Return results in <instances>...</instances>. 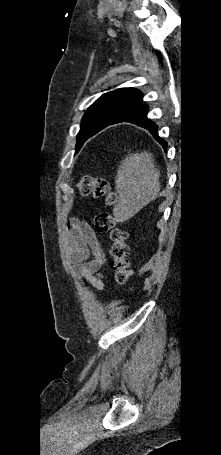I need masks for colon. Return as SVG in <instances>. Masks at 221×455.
I'll return each mask as SVG.
<instances>
[{"mask_svg":"<svg viewBox=\"0 0 221 455\" xmlns=\"http://www.w3.org/2000/svg\"><path fill=\"white\" fill-rule=\"evenodd\" d=\"M76 189L83 196L104 199L110 205L116 201V194L111 189L108 180L103 177L82 176L76 182ZM94 225L99 233L110 232L111 267L115 271L116 280L119 283H126L132 275L128 266L129 247L126 242V231L115 227L114 217L108 212L96 214Z\"/></svg>","mask_w":221,"mask_h":455,"instance_id":"1","label":"colon"}]
</instances>
